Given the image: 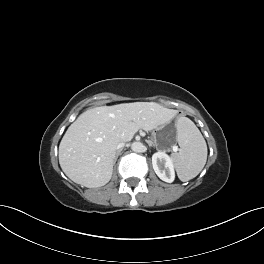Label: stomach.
I'll use <instances>...</instances> for the list:
<instances>
[{
	"instance_id": "0dacf381",
	"label": "stomach",
	"mask_w": 264,
	"mask_h": 264,
	"mask_svg": "<svg viewBox=\"0 0 264 264\" xmlns=\"http://www.w3.org/2000/svg\"><path fill=\"white\" fill-rule=\"evenodd\" d=\"M177 127L173 123H165L153 133V141L159 149H167L176 142Z\"/></svg>"
}]
</instances>
